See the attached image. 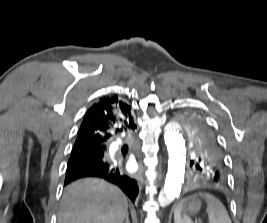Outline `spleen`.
Segmentation results:
<instances>
[{"label":"spleen","instance_id":"3e777b00","mask_svg":"<svg viewBox=\"0 0 267 223\" xmlns=\"http://www.w3.org/2000/svg\"><path fill=\"white\" fill-rule=\"evenodd\" d=\"M207 202V213L209 223H232L228 212L224 205L212 195L200 194ZM184 200L178 203L174 208V222L175 223H192L190 218L186 215L182 216Z\"/></svg>","mask_w":267,"mask_h":223}]
</instances>
